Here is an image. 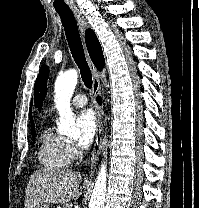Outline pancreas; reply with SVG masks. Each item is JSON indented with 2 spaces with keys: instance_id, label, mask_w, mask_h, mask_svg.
<instances>
[{
  "instance_id": "cf45deb5",
  "label": "pancreas",
  "mask_w": 199,
  "mask_h": 208,
  "mask_svg": "<svg viewBox=\"0 0 199 208\" xmlns=\"http://www.w3.org/2000/svg\"><path fill=\"white\" fill-rule=\"evenodd\" d=\"M58 208H72L70 204H66V205H63L62 207H58Z\"/></svg>"
}]
</instances>
